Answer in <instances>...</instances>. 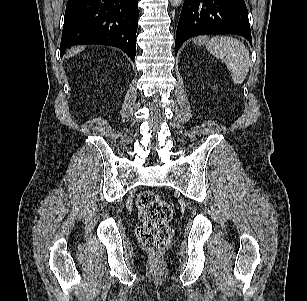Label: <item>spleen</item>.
<instances>
[{
  "label": "spleen",
  "instance_id": "spleen-1",
  "mask_svg": "<svg viewBox=\"0 0 307 301\" xmlns=\"http://www.w3.org/2000/svg\"><path fill=\"white\" fill-rule=\"evenodd\" d=\"M207 50L225 63L234 83H243L251 60L247 47L241 41L228 36H215L208 41Z\"/></svg>",
  "mask_w": 307,
  "mask_h": 301
}]
</instances>
